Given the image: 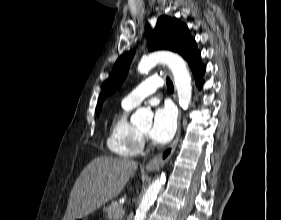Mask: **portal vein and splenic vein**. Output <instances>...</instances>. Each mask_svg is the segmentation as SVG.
Returning a JSON list of instances; mask_svg holds the SVG:
<instances>
[{
  "label": "portal vein and splenic vein",
  "instance_id": "portal-vein-and-splenic-vein-1",
  "mask_svg": "<svg viewBox=\"0 0 281 220\" xmlns=\"http://www.w3.org/2000/svg\"><path fill=\"white\" fill-rule=\"evenodd\" d=\"M121 214H124V211H123V210H121V212H120L118 215H121Z\"/></svg>",
  "mask_w": 281,
  "mask_h": 220
}]
</instances>
